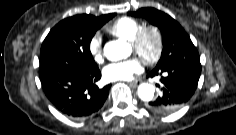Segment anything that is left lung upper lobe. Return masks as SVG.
I'll return each instance as SVG.
<instances>
[{"mask_svg": "<svg viewBox=\"0 0 236 135\" xmlns=\"http://www.w3.org/2000/svg\"><path fill=\"white\" fill-rule=\"evenodd\" d=\"M130 15L146 18L152 25L157 26L162 33L164 47L154 70L170 64L182 63L192 54L197 53L189 35L168 14L155 8H141L136 12H130Z\"/></svg>", "mask_w": 236, "mask_h": 135, "instance_id": "obj_1", "label": "left lung upper lobe"}]
</instances>
